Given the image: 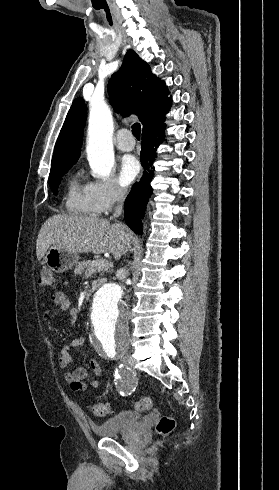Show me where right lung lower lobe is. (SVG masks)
<instances>
[{"label": "right lung lower lobe", "mask_w": 279, "mask_h": 490, "mask_svg": "<svg viewBox=\"0 0 279 490\" xmlns=\"http://www.w3.org/2000/svg\"><path fill=\"white\" fill-rule=\"evenodd\" d=\"M165 126L143 133L141 146V164L144 172L139 182H136L125 201V222L136 233L142 234L141 218L146 203L152 193L150 182L154 176L150 168L156 158V149L164 140Z\"/></svg>", "instance_id": "right-lung-lower-lobe-1"}]
</instances>
